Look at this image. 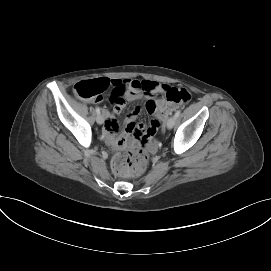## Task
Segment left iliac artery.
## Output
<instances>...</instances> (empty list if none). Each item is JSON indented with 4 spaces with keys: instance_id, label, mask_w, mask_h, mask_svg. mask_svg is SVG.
<instances>
[{
    "instance_id": "1",
    "label": "left iliac artery",
    "mask_w": 271,
    "mask_h": 271,
    "mask_svg": "<svg viewBox=\"0 0 271 271\" xmlns=\"http://www.w3.org/2000/svg\"><path fill=\"white\" fill-rule=\"evenodd\" d=\"M180 113H181V111H180V110H177V111H176V113H175V115H174V116H175V118H178V117H179V115H180Z\"/></svg>"
}]
</instances>
